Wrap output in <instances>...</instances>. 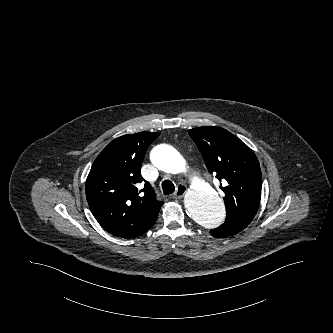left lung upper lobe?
Masks as SVG:
<instances>
[{"mask_svg": "<svg viewBox=\"0 0 333 333\" xmlns=\"http://www.w3.org/2000/svg\"><path fill=\"white\" fill-rule=\"evenodd\" d=\"M210 173L226 180V220L249 224L261 199L262 174L254 152L229 131L214 126L189 130Z\"/></svg>", "mask_w": 333, "mask_h": 333, "instance_id": "left-lung-upper-lobe-1", "label": "left lung upper lobe"}]
</instances>
